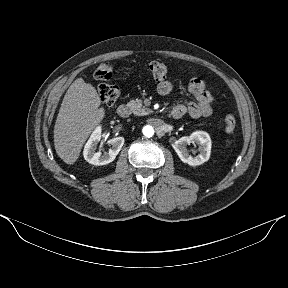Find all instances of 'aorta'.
<instances>
[{
    "mask_svg": "<svg viewBox=\"0 0 288 288\" xmlns=\"http://www.w3.org/2000/svg\"><path fill=\"white\" fill-rule=\"evenodd\" d=\"M142 131H143L144 136L148 138L154 135V128L150 125L145 126Z\"/></svg>",
    "mask_w": 288,
    "mask_h": 288,
    "instance_id": "1",
    "label": "aorta"
}]
</instances>
